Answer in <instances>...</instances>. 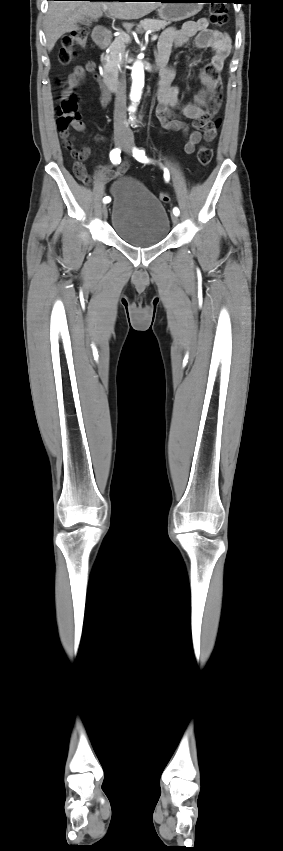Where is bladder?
<instances>
[{"label": "bladder", "instance_id": "1", "mask_svg": "<svg viewBox=\"0 0 283 851\" xmlns=\"http://www.w3.org/2000/svg\"><path fill=\"white\" fill-rule=\"evenodd\" d=\"M111 224L124 242L135 247H151L169 234L168 213L160 200L141 182L122 177L113 185Z\"/></svg>", "mask_w": 283, "mask_h": 851}]
</instances>
